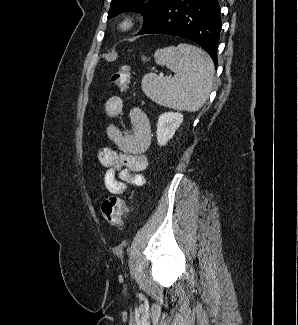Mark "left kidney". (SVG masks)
Masks as SVG:
<instances>
[{
  "label": "left kidney",
  "instance_id": "1",
  "mask_svg": "<svg viewBox=\"0 0 298 325\" xmlns=\"http://www.w3.org/2000/svg\"><path fill=\"white\" fill-rule=\"evenodd\" d=\"M183 118L184 114L182 112H172V110L159 114L156 136L160 146L167 144L168 140L174 136L175 130L182 124Z\"/></svg>",
  "mask_w": 298,
  "mask_h": 325
}]
</instances>
